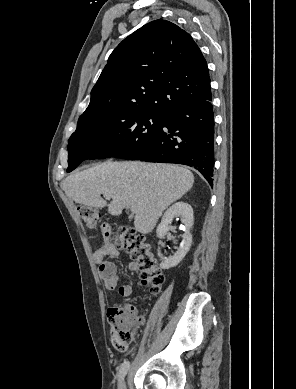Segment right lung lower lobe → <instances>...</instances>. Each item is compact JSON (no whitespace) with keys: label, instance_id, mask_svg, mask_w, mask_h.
<instances>
[{"label":"right lung lower lobe","instance_id":"right-lung-lower-lobe-1","mask_svg":"<svg viewBox=\"0 0 296 389\" xmlns=\"http://www.w3.org/2000/svg\"><path fill=\"white\" fill-rule=\"evenodd\" d=\"M211 101L209 96L166 115L162 127L137 154V159L194 167L212 186L215 136Z\"/></svg>","mask_w":296,"mask_h":389}]
</instances>
